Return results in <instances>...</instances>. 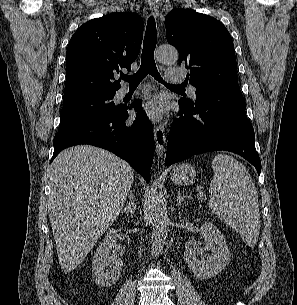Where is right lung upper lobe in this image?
Returning a JSON list of instances; mask_svg holds the SVG:
<instances>
[{
  "label": "right lung upper lobe",
  "mask_w": 297,
  "mask_h": 305,
  "mask_svg": "<svg viewBox=\"0 0 297 305\" xmlns=\"http://www.w3.org/2000/svg\"><path fill=\"white\" fill-rule=\"evenodd\" d=\"M143 38V19L134 13H112L83 24L70 39L66 54L63 101L115 92L120 68L131 70Z\"/></svg>",
  "instance_id": "1"
}]
</instances>
